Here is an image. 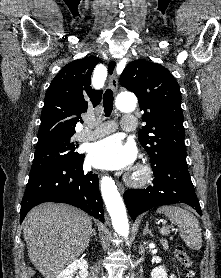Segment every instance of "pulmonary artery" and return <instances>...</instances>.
Here are the masks:
<instances>
[{"label": "pulmonary artery", "instance_id": "obj_1", "mask_svg": "<svg viewBox=\"0 0 221 278\" xmlns=\"http://www.w3.org/2000/svg\"><path fill=\"white\" fill-rule=\"evenodd\" d=\"M136 123V118L132 115H125L122 119V126L125 130H131ZM116 129L114 122H108L107 124H98L97 122L88 121L86 128L78 135L80 141H89L95 138L104 136Z\"/></svg>", "mask_w": 221, "mask_h": 278}]
</instances>
